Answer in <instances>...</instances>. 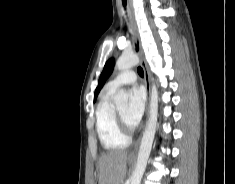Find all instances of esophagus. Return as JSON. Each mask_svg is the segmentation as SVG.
Here are the masks:
<instances>
[{
  "label": "esophagus",
  "mask_w": 235,
  "mask_h": 184,
  "mask_svg": "<svg viewBox=\"0 0 235 184\" xmlns=\"http://www.w3.org/2000/svg\"><path fill=\"white\" fill-rule=\"evenodd\" d=\"M129 5H130L129 17H130V21H131L132 34L134 37V41H133L134 52L138 55L139 60H140V64H141L143 71H144V84H145L146 91H147V100H146V114H147L148 110H149V100H150V78H149V72H148L146 60L144 58L143 50L141 47V39H140V35L138 32L137 22L135 20V14L132 9L131 0H129ZM140 141H141V137L137 140L130 156H137Z\"/></svg>",
  "instance_id": "obj_1"
}]
</instances>
